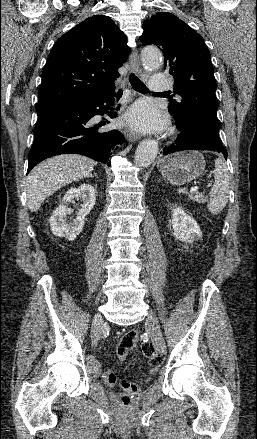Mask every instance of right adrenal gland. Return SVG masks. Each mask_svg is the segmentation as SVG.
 Wrapping results in <instances>:
<instances>
[{"instance_id":"1","label":"right adrenal gland","mask_w":257,"mask_h":439,"mask_svg":"<svg viewBox=\"0 0 257 439\" xmlns=\"http://www.w3.org/2000/svg\"><path fill=\"white\" fill-rule=\"evenodd\" d=\"M94 175H96V174H94ZM90 177L92 178V177H93V175H90Z\"/></svg>"}]
</instances>
